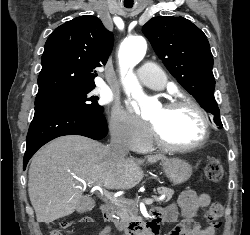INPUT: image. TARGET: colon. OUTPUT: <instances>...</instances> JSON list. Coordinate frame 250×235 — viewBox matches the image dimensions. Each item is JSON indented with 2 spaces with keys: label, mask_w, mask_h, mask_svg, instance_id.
Instances as JSON below:
<instances>
[{
  "label": "colon",
  "mask_w": 250,
  "mask_h": 235,
  "mask_svg": "<svg viewBox=\"0 0 250 235\" xmlns=\"http://www.w3.org/2000/svg\"><path fill=\"white\" fill-rule=\"evenodd\" d=\"M223 167L217 160L209 161L205 167V175L211 182H219L223 178ZM223 213V207L218 203H213L209 206L205 213L207 222L214 229H218L221 226V217ZM83 222H92L91 218H85ZM69 223H61L58 228L52 229L50 235H66L69 228Z\"/></svg>",
  "instance_id": "1"
}]
</instances>
